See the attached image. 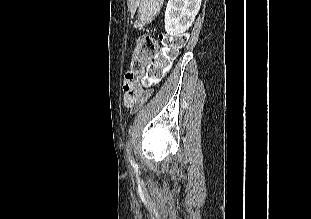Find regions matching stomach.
I'll return each instance as SVG.
<instances>
[{
    "label": "stomach",
    "instance_id": "obj_1",
    "mask_svg": "<svg viewBox=\"0 0 311 219\" xmlns=\"http://www.w3.org/2000/svg\"><path fill=\"white\" fill-rule=\"evenodd\" d=\"M163 0H141L138 10L137 24L144 26L152 22L157 15Z\"/></svg>",
    "mask_w": 311,
    "mask_h": 219
}]
</instances>
